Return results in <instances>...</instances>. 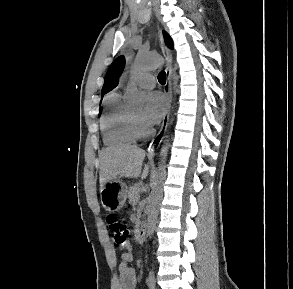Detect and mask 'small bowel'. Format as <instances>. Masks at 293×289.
Here are the masks:
<instances>
[{"mask_svg":"<svg viewBox=\"0 0 293 289\" xmlns=\"http://www.w3.org/2000/svg\"><path fill=\"white\" fill-rule=\"evenodd\" d=\"M120 264L118 268V277L114 282L113 289H136L138 279L135 269L131 266L133 254L129 248L120 256Z\"/></svg>","mask_w":293,"mask_h":289,"instance_id":"c3829d8e","label":"small bowel"}]
</instances>
